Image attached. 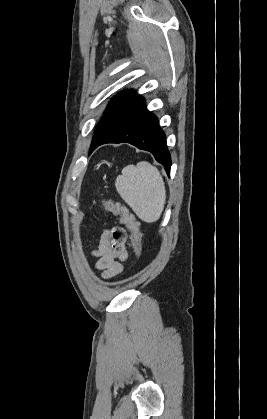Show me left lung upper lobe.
<instances>
[{"label": "left lung upper lobe", "mask_w": 267, "mask_h": 419, "mask_svg": "<svg viewBox=\"0 0 267 419\" xmlns=\"http://www.w3.org/2000/svg\"><path fill=\"white\" fill-rule=\"evenodd\" d=\"M136 97L137 95L134 90H124L111 99L105 111V115L95 130V136L93 137L92 144L111 128L114 123L115 113L128 107L136 99Z\"/></svg>", "instance_id": "1"}]
</instances>
